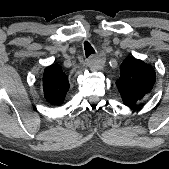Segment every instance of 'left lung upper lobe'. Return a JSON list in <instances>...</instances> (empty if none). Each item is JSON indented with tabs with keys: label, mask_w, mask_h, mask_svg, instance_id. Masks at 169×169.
<instances>
[{
	"label": "left lung upper lobe",
	"mask_w": 169,
	"mask_h": 169,
	"mask_svg": "<svg viewBox=\"0 0 169 169\" xmlns=\"http://www.w3.org/2000/svg\"><path fill=\"white\" fill-rule=\"evenodd\" d=\"M120 70L121 76L116 85L123 102L132 106L152 89L155 72L150 65L133 57L125 59Z\"/></svg>",
	"instance_id": "5c2ea615"
}]
</instances>
